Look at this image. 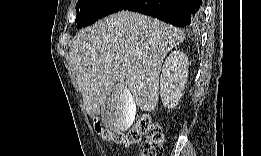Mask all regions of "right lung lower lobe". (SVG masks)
Returning a JSON list of instances; mask_svg holds the SVG:
<instances>
[{
	"mask_svg": "<svg viewBox=\"0 0 261 156\" xmlns=\"http://www.w3.org/2000/svg\"><path fill=\"white\" fill-rule=\"evenodd\" d=\"M201 7L202 0H125L114 12H140L177 27L193 28L201 19Z\"/></svg>",
	"mask_w": 261,
	"mask_h": 156,
	"instance_id": "98d812e1",
	"label": "right lung lower lobe"
}]
</instances>
